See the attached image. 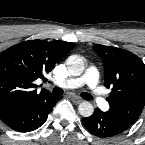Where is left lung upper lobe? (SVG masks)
Wrapping results in <instances>:
<instances>
[{"instance_id":"5c2ea615","label":"left lung upper lobe","mask_w":145,"mask_h":145,"mask_svg":"<svg viewBox=\"0 0 145 145\" xmlns=\"http://www.w3.org/2000/svg\"><path fill=\"white\" fill-rule=\"evenodd\" d=\"M93 48L103 60L105 86L111 89L106 114L128 129L145 105V64L124 49L100 44Z\"/></svg>"}]
</instances>
